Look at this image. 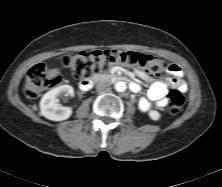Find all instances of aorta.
<instances>
[{
	"label": "aorta",
	"mask_w": 222,
	"mask_h": 187,
	"mask_svg": "<svg viewBox=\"0 0 222 187\" xmlns=\"http://www.w3.org/2000/svg\"><path fill=\"white\" fill-rule=\"evenodd\" d=\"M114 88L117 92H124L127 88L126 83L123 81H118L115 83Z\"/></svg>",
	"instance_id": "762f6f07"
}]
</instances>
